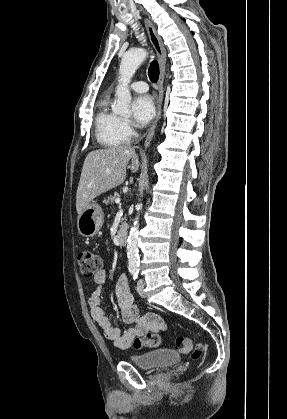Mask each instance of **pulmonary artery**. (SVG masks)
<instances>
[{
	"instance_id": "pulmonary-artery-1",
	"label": "pulmonary artery",
	"mask_w": 287,
	"mask_h": 419,
	"mask_svg": "<svg viewBox=\"0 0 287 419\" xmlns=\"http://www.w3.org/2000/svg\"><path fill=\"white\" fill-rule=\"evenodd\" d=\"M130 88L136 92H145L148 90V85L144 81H137L131 83Z\"/></svg>"
}]
</instances>
